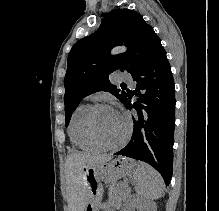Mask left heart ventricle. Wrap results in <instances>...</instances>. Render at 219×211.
Listing matches in <instances>:
<instances>
[{
    "label": "left heart ventricle",
    "mask_w": 219,
    "mask_h": 211,
    "mask_svg": "<svg viewBox=\"0 0 219 211\" xmlns=\"http://www.w3.org/2000/svg\"><path fill=\"white\" fill-rule=\"evenodd\" d=\"M97 134L106 142L115 143L126 130V121L112 108L100 109L94 119Z\"/></svg>",
    "instance_id": "left-heart-ventricle-1"
}]
</instances>
